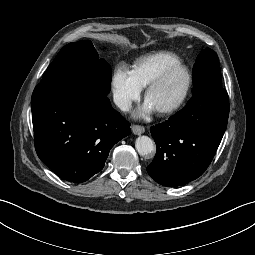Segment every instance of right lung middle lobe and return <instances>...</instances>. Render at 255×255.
<instances>
[{"mask_svg": "<svg viewBox=\"0 0 255 255\" xmlns=\"http://www.w3.org/2000/svg\"><path fill=\"white\" fill-rule=\"evenodd\" d=\"M41 82L75 83L107 96L111 89V68L104 59H99L92 42L84 40L64 46Z\"/></svg>", "mask_w": 255, "mask_h": 255, "instance_id": "dd1d6c3e", "label": "right lung middle lobe"}]
</instances>
